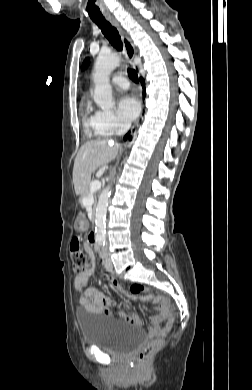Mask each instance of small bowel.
I'll use <instances>...</instances> for the list:
<instances>
[{
    "instance_id": "c3829d8e",
    "label": "small bowel",
    "mask_w": 252,
    "mask_h": 390,
    "mask_svg": "<svg viewBox=\"0 0 252 390\" xmlns=\"http://www.w3.org/2000/svg\"><path fill=\"white\" fill-rule=\"evenodd\" d=\"M87 249H91L89 246H86ZM94 268H89L86 271L79 273L74 278V288L77 291H80L79 303L80 305L87 310L88 312L95 314H105L111 315V307L115 305L114 301L111 297L103 294L96 288L89 287L88 281L90 276L93 274ZM110 284L113 282H117L115 278L110 277ZM119 285V284H118ZM120 286V285H119ZM120 294L124 296L131 297L132 299H140L142 301H153L160 302L158 305L154 307L155 313L151 316L150 320L152 322V326L148 328V333L152 337H156L158 335H163L169 331L173 323V315L169 310V301L167 299H159L153 297L151 295H129L125 291L121 289H116ZM118 316L127 323L139 324L140 317L137 314H126L123 310H117Z\"/></svg>"
}]
</instances>
